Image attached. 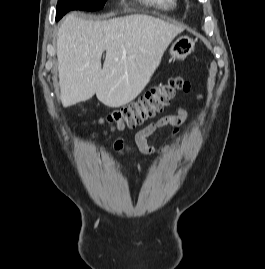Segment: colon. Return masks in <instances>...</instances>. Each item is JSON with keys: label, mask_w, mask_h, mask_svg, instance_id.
<instances>
[{"label": "colon", "mask_w": 265, "mask_h": 269, "mask_svg": "<svg viewBox=\"0 0 265 269\" xmlns=\"http://www.w3.org/2000/svg\"><path fill=\"white\" fill-rule=\"evenodd\" d=\"M188 91L189 84L175 77L152 87L141 99L107 116L106 122L118 129L135 128L156 114L174 98L177 91ZM104 120H102L103 122Z\"/></svg>", "instance_id": "1"}]
</instances>
